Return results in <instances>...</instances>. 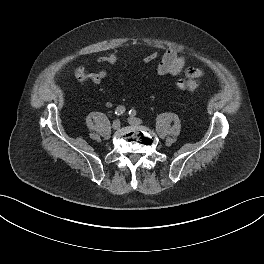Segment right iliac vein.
I'll list each match as a JSON object with an SVG mask.
<instances>
[{
    "mask_svg": "<svg viewBox=\"0 0 264 264\" xmlns=\"http://www.w3.org/2000/svg\"><path fill=\"white\" fill-rule=\"evenodd\" d=\"M120 126H121V122H120V120L117 119V120H114V121H113V123H112V128H113L114 130L119 129Z\"/></svg>",
    "mask_w": 264,
    "mask_h": 264,
    "instance_id": "obj_1",
    "label": "right iliac vein"
}]
</instances>
